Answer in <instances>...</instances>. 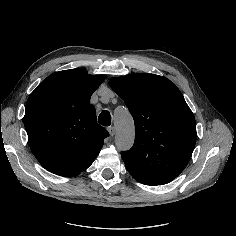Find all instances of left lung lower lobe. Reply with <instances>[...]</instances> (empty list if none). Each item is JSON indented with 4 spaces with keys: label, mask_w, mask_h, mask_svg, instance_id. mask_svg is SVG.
Returning <instances> with one entry per match:
<instances>
[{
    "label": "left lung lower lobe",
    "mask_w": 236,
    "mask_h": 236,
    "mask_svg": "<svg viewBox=\"0 0 236 236\" xmlns=\"http://www.w3.org/2000/svg\"><path fill=\"white\" fill-rule=\"evenodd\" d=\"M127 170L132 175V177L135 178L140 183H143L146 185H161V184L155 182L154 180L135 172L134 170H131L129 168H127Z\"/></svg>",
    "instance_id": "0a47b994"
}]
</instances>
